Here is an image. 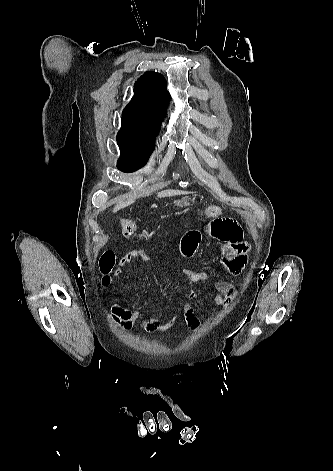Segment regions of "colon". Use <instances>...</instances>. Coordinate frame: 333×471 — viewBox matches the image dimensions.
<instances>
[{
  "mask_svg": "<svg viewBox=\"0 0 333 471\" xmlns=\"http://www.w3.org/2000/svg\"><path fill=\"white\" fill-rule=\"evenodd\" d=\"M205 213L209 217H218L222 214V208L216 205H212L206 208ZM120 226L123 234L128 238L132 237L136 233L137 226L135 221L132 219L122 218L120 220ZM114 264L115 255L113 252L107 251L100 257L99 266L101 272L104 274L103 284L105 285L109 283V277L107 276V274L112 270Z\"/></svg>",
  "mask_w": 333,
  "mask_h": 471,
  "instance_id": "5ec220e1",
  "label": "colon"
}]
</instances>
